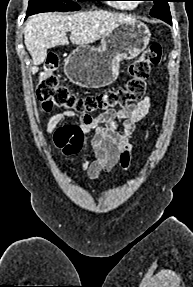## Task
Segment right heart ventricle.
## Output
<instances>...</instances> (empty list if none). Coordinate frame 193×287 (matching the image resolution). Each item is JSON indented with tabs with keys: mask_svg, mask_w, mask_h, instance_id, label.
I'll use <instances>...</instances> for the list:
<instances>
[{
	"mask_svg": "<svg viewBox=\"0 0 193 287\" xmlns=\"http://www.w3.org/2000/svg\"><path fill=\"white\" fill-rule=\"evenodd\" d=\"M115 6L120 9H131L132 8V5L129 3H120V4H116Z\"/></svg>",
	"mask_w": 193,
	"mask_h": 287,
	"instance_id": "e07e8e85",
	"label": "right heart ventricle"
}]
</instances>
